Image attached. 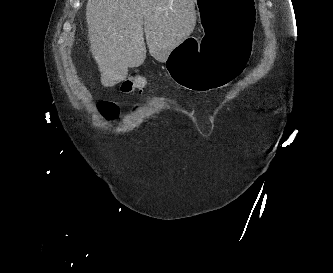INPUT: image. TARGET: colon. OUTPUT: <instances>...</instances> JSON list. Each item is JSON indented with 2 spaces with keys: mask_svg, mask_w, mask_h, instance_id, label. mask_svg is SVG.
Listing matches in <instances>:
<instances>
[{
  "mask_svg": "<svg viewBox=\"0 0 333 273\" xmlns=\"http://www.w3.org/2000/svg\"><path fill=\"white\" fill-rule=\"evenodd\" d=\"M148 85L146 79L141 77H129L122 83V91L132 92L142 89ZM99 109L108 118H114L118 113V107L116 104L108 101H102L99 103Z\"/></svg>",
  "mask_w": 333,
  "mask_h": 273,
  "instance_id": "obj_1",
  "label": "colon"
}]
</instances>
